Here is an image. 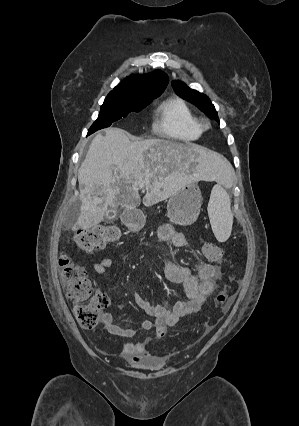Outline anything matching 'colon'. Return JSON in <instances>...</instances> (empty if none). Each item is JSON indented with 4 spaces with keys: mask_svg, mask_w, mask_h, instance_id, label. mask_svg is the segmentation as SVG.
Wrapping results in <instances>:
<instances>
[{
    "mask_svg": "<svg viewBox=\"0 0 299 426\" xmlns=\"http://www.w3.org/2000/svg\"><path fill=\"white\" fill-rule=\"evenodd\" d=\"M119 237L120 231L115 226H96L78 231L74 241L81 250L92 251L117 241ZM203 253L211 262L219 264L225 262V251L216 244L206 243L203 246ZM59 264L65 295L74 303V314L79 325L84 329L94 328L98 324L100 311L108 303L107 298L92 287L85 269L69 256H61ZM216 300L224 309L229 302L228 294L221 292Z\"/></svg>",
    "mask_w": 299,
    "mask_h": 426,
    "instance_id": "5ec220e1",
    "label": "colon"
}]
</instances>
